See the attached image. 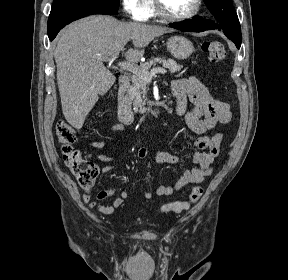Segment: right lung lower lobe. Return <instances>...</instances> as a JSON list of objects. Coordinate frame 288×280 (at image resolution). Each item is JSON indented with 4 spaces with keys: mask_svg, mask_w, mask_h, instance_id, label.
<instances>
[{
    "mask_svg": "<svg viewBox=\"0 0 288 280\" xmlns=\"http://www.w3.org/2000/svg\"><path fill=\"white\" fill-rule=\"evenodd\" d=\"M92 14L113 15L117 14V12L101 4L88 1L73 3L60 7L50 12L48 19L49 39L52 41L60 29H62L65 25L71 23L74 20Z\"/></svg>",
    "mask_w": 288,
    "mask_h": 280,
    "instance_id": "obj_1",
    "label": "right lung lower lobe"
}]
</instances>
